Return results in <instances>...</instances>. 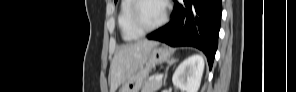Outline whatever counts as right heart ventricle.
<instances>
[{
    "instance_id": "e07e8e85",
    "label": "right heart ventricle",
    "mask_w": 296,
    "mask_h": 92,
    "mask_svg": "<svg viewBox=\"0 0 296 92\" xmlns=\"http://www.w3.org/2000/svg\"><path fill=\"white\" fill-rule=\"evenodd\" d=\"M133 2V0H123L120 4L117 17L119 30L122 38L126 41L136 40L142 36V33L137 31L130 22V12Z\"/></svg>"
}]
</instances>
